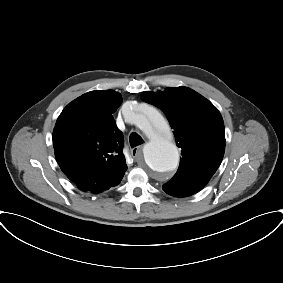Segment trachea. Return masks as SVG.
<instances>
[{
	"mask_svg": "<svg viewBox=\"0 0 283 283\" xmlns=\"http://www.w3.org/2000/svg\"><path fill=\"white\" fill-rule=\"evenodd\" d=\"M129 141L132 148L144 143V140L137 133H131Z\"/></svg>",
	"mask_w": 283,
	"mask_h": 283,
	"instance_id": "trachea-1",
	"label": "trachea"
}]
</instances>
